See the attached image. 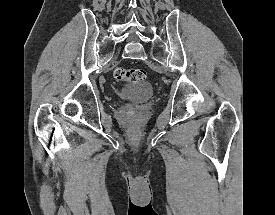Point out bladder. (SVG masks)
I'll return each mask as SVG.
<instances>
[{
  "label": "bladder",
  "instance_id": "bladder-1",
  "mask_svg": "<svg viewBox=\"0 0 275 215\" xmlns=\"http://www.w3.org/2000/svg\"><path fill=\"white\" fill-rule=\"evenodd\" d=\"M119 95L135 101H146L152 97L153 87L151 84L142 81L133 82L125 85Z\"/></svg>",
  "mask_w": 275,
  "mask_h": 215
}]
</instances>
